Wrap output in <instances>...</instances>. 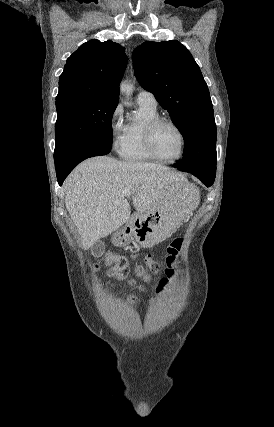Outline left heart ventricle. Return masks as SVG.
Instances as JSON below:
<instances>
[{
	"label": "left heart ventricle",
	"instance_id": "b2bd125f",
	"mask_svg": "<svg viewBox=\"0 0 274 427\" xmlns=\"http://www.w3.org/2000/svg\"><path fill=\"white\" fill-rule=\"evenodd\" d=\"M154 145L157 152L167 160H174L180 155L181 139L170 125L162 124L156 129Z\"/></svg>",
	"mask_w": 274,
	"mask_h": 427
}]
</instances>
